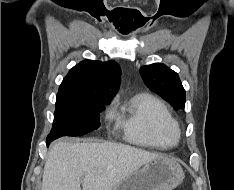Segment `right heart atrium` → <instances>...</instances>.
<instances>
[{"mask_svg": "<svg viewBox=\"0 0 234 190\" xmlns=\"http://www.w3.org/2000/svg\"><path fill=\"white\" fill-rule=\"evenodd\" d=\"M107 117L109 118V117H111V111H107Z\"/></svg>", "mask_w": 234, "mask_h": 190, "instance_id": "obj_1", "label": "right heart atrium"}]
</instances>
